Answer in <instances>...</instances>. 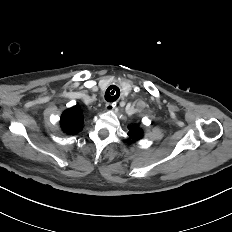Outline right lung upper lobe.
Segmentation results:
<instances>
[{
  "label": "right lung upper lobe",
  "mask_w": 232,
  "mask_h": 232,
  "mask_svg": "<svg viewBox=\"0 0 232 232\" xmlns=\"http://www.w3.org/2000/svg\"><path fill=\"white\" fill-rule=\"evenodd\" d=\"M61 127L67 134L75 135L83 128V116L78 106L66 110L61 116Z\"/></svg>",
  "instance_id": "right-lung-upper-lobe-1"
}]
</instances>
